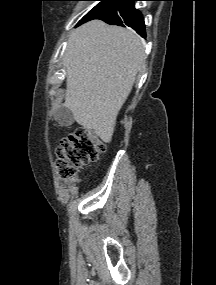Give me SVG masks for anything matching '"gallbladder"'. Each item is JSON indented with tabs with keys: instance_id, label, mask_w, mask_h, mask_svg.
<instances>
[{
	"instance_id": "gallbladder-1",
	"label": "gallbladder",
	"mask_w": 216,
	"mask_h": 285,
	"mask_svg": "<svg viewBox=\"0 0 216 285\" xmlns=\"http://www.w3.org/2000/svg\"><path fill=\"white\" fill-rule=\"evenodd\" d=\"M55 119L62 126H70L74 123V116L70 109L65 106H60L55 114Z\"/></svg>"
}]
</instances>
